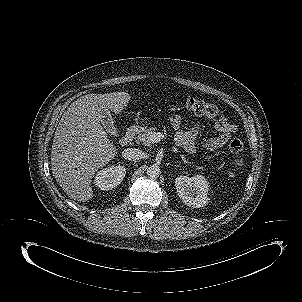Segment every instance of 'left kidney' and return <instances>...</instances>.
Masks as SVG:
<instances>
[{
  "instance_id": "5707ae66",
  "label": "left kidney",
  "mask_w": 302,
  "mask_h": 302,
  "mask_svg": "<svg viewBox=\"0 0 302 302\" xmlns=\"http://www.w3.org/2000/svg\"><path fill=\"white\" fill-rule=\"evenodd\" d=\"M175 187L178 196L187 206L201 208L208 203L209 185L202 175L179 176L175 180Z\"/></svg>"
}]
</instances>
